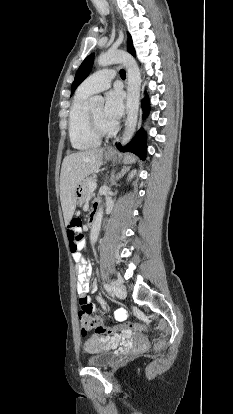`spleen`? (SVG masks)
I'll return each instance as SVG.
<instances>
[{"mask_svg":"<svg viewBox=\"0 0 233 414\" xmlns=\"http://www.w3.org/2000/svg\"><path fill=\"white\" fill-rule=\"evenodd\" d=\"M132 157V156H131ZM133 161L135 160L134 157H132Z\"/></svg>","mask_w":233,"mask_h":414,"instance_id":"3e777b00","label":"spleen"}]
</instances>
